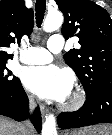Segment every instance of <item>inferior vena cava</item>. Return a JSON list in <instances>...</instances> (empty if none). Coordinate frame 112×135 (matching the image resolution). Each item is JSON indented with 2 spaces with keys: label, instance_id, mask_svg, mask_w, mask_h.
<instances>
[{
  "label": "inferior vena cava",
  "instance_id": "602c4592",
  "mask_svg": "<svg viewBox=\"0 0 112 135\" xmlns=\"http://www.w3.org/2000/svg\"><path fill=\"white\" fill-rule=\"evenodd\" d=\"M35 107V103L31 100L30 101V110L32 111ZM23 129L24 135H32L33 134V126L29 121H25L23 124H21Z\"/></svg>",
  "mask_w": 112,
  "mask_h": 135
}]
</instances>
